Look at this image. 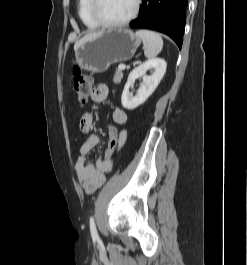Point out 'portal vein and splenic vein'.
<instances>
[{
  "instance_id": "1",
  "label": "portal vein and splenic vein",
  "mask_w": 247,
  "mask_h": 265,
  "mask_svg": "<svg viewBox=\"0 0 247 265\" xmlns=\"http://www.w3.org/2000/svg\"><path fill=\"white\" fill-rule=\"evenodd\" d=\"M126 68V66L124 64H120L118 66V70H124Z\"/></svg>"
}]
</instances>
